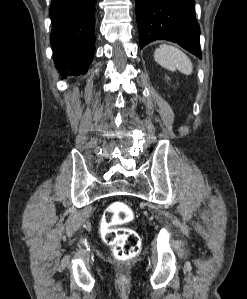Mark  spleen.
<instances>
[{"instance_id":"obj_1","label":"spleen","mask_w":247,"mask_h":299,"mask_svg":"<svg viewBox=\"0 0 247 299\" xmlns=\"http://www.w3.org/2000/svg\"><path fill=\"white\" fill-rule=\"evenodd\" d=\"M154 59L159 65L170 71L177 69L186 75H190L193 71V65L189 57L181 50L170 45H160L155 50Z\"/></svg>"}]
</instances>
